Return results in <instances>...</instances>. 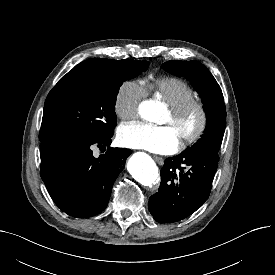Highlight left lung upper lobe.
<instances>
[{
	"label": "left lung upper lobe",
	"mask_w": 275,
	"mask_h": 275,
	"mask_svg": "<svg viewBox=\"0 0 275 275\" xmlns=\"http://www.w3.org/2000/svg\"><path fill=\"white\" fill-rule=\"evenodd\" d=\"M162 68L176 76H186L205 106L207 127L199 142L185 151L208 149L218 152L226 126V109L222 90L215 78L198 61H168L162 65Z\"/></svg>",
	"instance_id": "left-lung-upper-lobe-1"
}]
</instances>
